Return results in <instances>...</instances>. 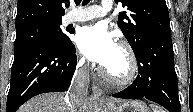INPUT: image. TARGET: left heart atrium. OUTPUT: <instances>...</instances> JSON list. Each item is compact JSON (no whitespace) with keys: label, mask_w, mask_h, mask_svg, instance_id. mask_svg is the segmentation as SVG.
<instances>
[{"label":"left heart atrium","mask_w":193,"mask_h":112,"mask_svg":"<svg viewBox=\"0 0 193 112\" xmlns=\"http://www.w3.org/2000/svg\"><path fill=\"white\" fill-rule=\"evenodd\" d=\"M76 45L87 59L103 67L111 60L118 46L104 23L83 27L76 36Z\"/></svg>","instance_id":"39dd6f15"}]
</instances>
